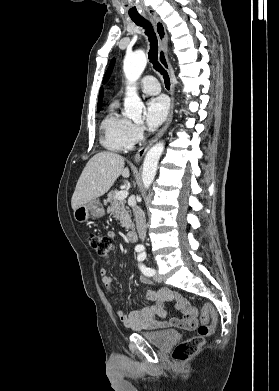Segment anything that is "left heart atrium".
Masks as SVG:
<instances>
[{
  "label": "left heart atrium",
  "mask_w": 279,
  "mask_h": 391,
  "mask_svg": "<svg viewBox=\"0 0 279 391\" xmlns=\"http://www.w3.org/2000/svg\"><path fill=\"white\" fill-rule=\"evenodd\" d=\"M169 103L164 96L150 99L146 104L145 120L149 128L158 127L167 117Z\"/></svg>",
  "instance_id": "left-heart-atrium-1"
}]
</instances>
